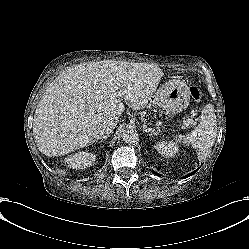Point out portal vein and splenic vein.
I'll list each match as a JSON object with an SVG mask.
<instances>
[{
  "instance_id": "portal-vein-and-splenic-vein-1",
  "label": "portal vein and splenic vein",
  "mask_w": 249,
  "mask_h": 249,
  "mask_svg": "<svg viewBox=\"0 0 249 249\" xmlns=\"http://www.w3.org/2000/svg\"><path fill=\"white\" fill-rule=\"evenodd\" d=\"M190 122H191V119L184 120V121H183V125H188Z\"/></svg>"
}]
</instances>
